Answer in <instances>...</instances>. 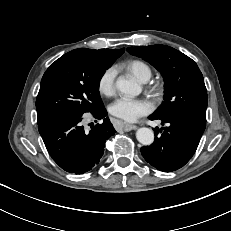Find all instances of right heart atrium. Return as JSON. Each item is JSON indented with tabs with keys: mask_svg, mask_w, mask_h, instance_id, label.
I'll use <instances>...</instances> for the list:
<instances>
[{
	"mask_svg": "<svg viewBox=\"0 0 231 231\" xmlns=\"http://www.w3.org/2000/svg\"><path fill=\"white\" fill-rule=\"evenodd\" d=\"M117 71L114 67L106 68L98 79V90L104 96H112L115 93Z\"/></svg>",
	"mask_w": 231,
	"mask_h": 231,
	"instance_id": "d8ad5b80",
	"label": "right heart atrium"
}]
</instances>
